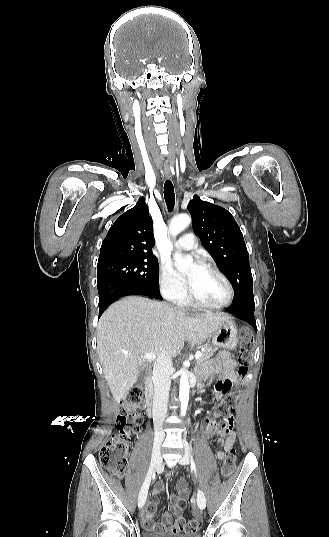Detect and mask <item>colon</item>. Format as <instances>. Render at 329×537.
Listing matches in <instances>:
<instances>
[{
  "label": "colon",
  "instance_id": "1",
  "mask_svg": "<svg viewBox=\"0 0 329 537\" xmlns=\"http://www.w3.org/2000/svg\"><path fill=\"white\" fill-rule=\"evenodd\" d=\"M254 339L250 331L246 330L241 335L240 351L238 355V374L236 391H230L229 395L223 397L219 395V404L215 412L208 418L213 424L226 430L233 425L232 413L237 405V393L243 384L249 367L253 361ZM220 394V393H219ZM143 421V398L140 388L129 390L120 402L119 414L115 422L116 433L102 446L99 458L102 466L110 476L120 478L126 468L127 454L131 435L140 431ZM236 464V450L231 447L224 459L221 473L224 478H228L234 471ZM186 532L195 535L199 531V521L197 519L184 520Z\"/></svg>",
  "mask_w": 329,
  "mask_h": 537
}]
</instances>
